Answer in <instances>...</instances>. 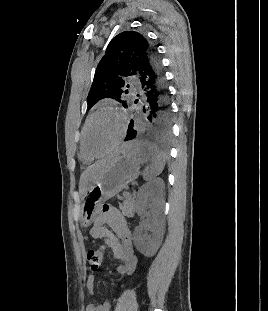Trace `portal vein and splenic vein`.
<instances>
[{"instance_id":"18ae733b","label":"portal vein and splenic vein","mask_w":268,"mask_h":311,"mask_svg":"<svg viewBox=\"0 0 268 311\" xmlns=\"http://www.w3.org/2000/svg\"><path fill=\"white\" fill-rule=\"evenodd\" d=\"M124 195H128V193H124Z\"/></svg>"}]
</instances>
